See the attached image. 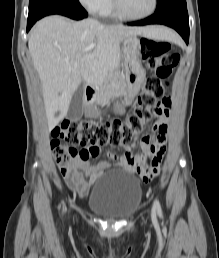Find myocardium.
I'll return each instance as SVG.
<instances>
[{
    "label": "myocardium",
    "mask_w": 219,
    "mask_h": 258,
    "mask_svg": "<svg viewBox=\"0 0 219 258\" xmlns=\"http://www.w3.org/2000/svg\"><path fill=\"white\" fill-rule=\"evenodd\" d=\"M112 4H113V9L117 16H119L123 19H127V20H142V19H145L154 14V12L156 11V9L158 7V0H153V6L150 9V11H148L147 13L142 14V15L127 14L123 9L120 0H112Z\"/></svg>",
    "instance_id": "1"
}]
</instances>
